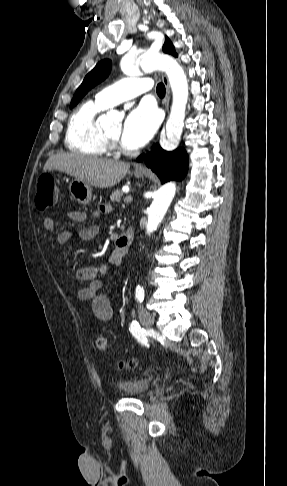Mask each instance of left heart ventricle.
Segmentation results:
<instances>
[{
	"label": "left heart ventricle",
	"mask_w": 287,
	"mask_h": 486,
	"mask_svg": "<svg viewBox=\"0 0 287 486\" xmlns=\"http://www.w3.org/2000/svg\"><path fill=\"white\" fill-rule=\"evenodd\" d=\"M107 135L114 140H119V138L121 136V126L117 125V126L113 127L112 129L107 131Z\"/></svg>",
	"instance_id": "b2bd125f"
}]
</instances>
